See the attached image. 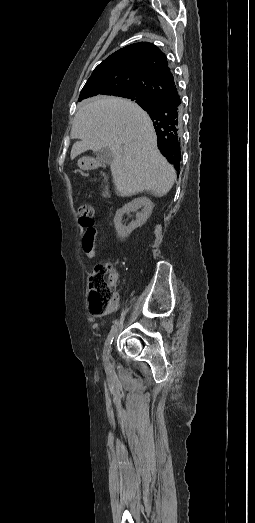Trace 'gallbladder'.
Returning <instances> with one entry per match:
<instances>
[{
  "label": "gallbladder",
  "mask_w": 255,
  "mask_h": 523,
  "mask_svg": "<svg viewBox=\"0 0 255 523\" xmlns=\"http://www.w3.org/2000/svg\"><path fill=\"white\" fill-rule=\"evenodd\" d=\"M93 154H95V156H98V158H101L104 164H112L114 160V156L111 150H109V148H102V150H97V152L93 150Z\"/></svg>",
  "instance_id": "1"
}]
</instances>
